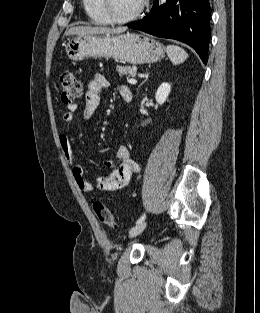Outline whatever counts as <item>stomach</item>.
I'll return each instance as SVG.
<instances>
[{"mask_svg":"<svg viewBox=\"0 0 260 313\" xmlns=\"http://www.w3.org/2000/svg\"><path fill=\"white\" fill-rule=\"evenodd\" d=\"M65 50L73 61L89 57H112L134 65L155 63L165 55L161 43L137 33L76 36L68 41Z\"/></svg>","mask_w":260,"mask_h":313,"instance_id":"1","label":"stomach"}]
</instances>
